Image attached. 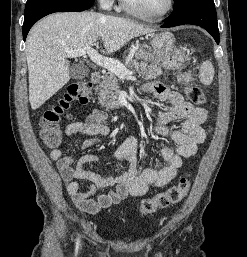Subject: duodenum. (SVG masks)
I'll list each match as a JSON object with an SVG mask.
<instances>
[{
    "label": "duodenum",
    "instance_id": "1",
    "mask_svg": "<svg viewBox=\"0 0 247 257\" xmlns=\"http://www.w3.org/2000/svg\"><path fill=\"white\" fill-rule=\"evenodd\" d=\"M90 79H91V82H92L93 84H97V83L100 81V79H101V74H100V72H99V71H93V72L91 73Z\"/></svg>",
    "mask_w": 247,
    "mask_h": 257
}]
</instances>
